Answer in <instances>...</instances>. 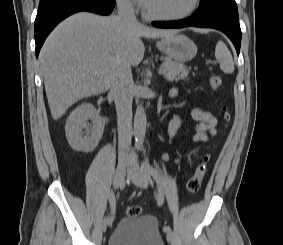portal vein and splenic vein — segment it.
Segmentation results:
<instances>
[{
    "label": "portal vein and splenic vein",
    "instance_id": "portal-vein-and-splenic-vein-1",
    "mask_svg": "<svg viewBox=\"0 0 283 245\" xmlns=\"http://www.w3.org/2000/svg\"><path fill=\"white\" fill-rule=\"evenodd\" d=\"M163 73V69L162 67L159 69V74H162Z\"/></svg>",
    "mask_w": 283,
    "mask_h": 245
}]
</instances>
